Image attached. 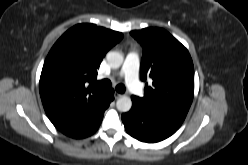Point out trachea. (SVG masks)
<instances>
[{"mask_svg": "<svg viewBox=\"0 0 248 165\" xmlns=\"http://www.w3.org/2000/svg\"><path fill=\"white\" fill-rule=\"evenodd\" d=\"M94 84L96 86H100V87H104V88H110L111 87V81L108 80V79H104V80H101V81H95ZM126 90L125 86L123 84H118L116 86V91L119 92V93H124Z\"/></svg>", "mask_w": 248, "mask_h": 165, "instance_id": "3493384b", "label": "trachea"}]
</instances>
